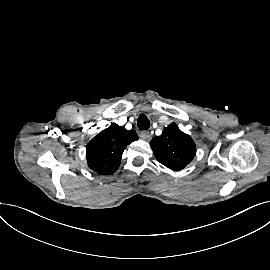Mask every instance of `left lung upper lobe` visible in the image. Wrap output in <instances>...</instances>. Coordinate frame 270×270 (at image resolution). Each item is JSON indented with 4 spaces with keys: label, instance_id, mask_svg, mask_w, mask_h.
Masks as SVG:
<instances>
[{
    "label": "left lung upper lobe",
    "instance_id": "obj_1",
    "mask_svg": "<svg viewBox=\"0 0 270 270\" xmlns=\"http://www.w3.org/2000/svg\"><path fill=\"white\" fill-rule=\"evenodd\" d=\"M150 146L156 159L171 170L179 171L189 164L196 154L193 139L174 123L154 137Z\"/></svg>",
    "mask_w": 270,
    "mask_h": 270
}]
</instances>
